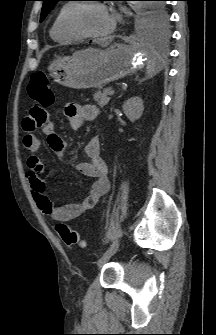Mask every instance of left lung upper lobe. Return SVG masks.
Here are the masks:
<instances>
[{"label":"left lung upper lobe","instance_id":"left-lung-upper-lobe-1","mask_svg":"<svg viewBox=\"0 0 216 335\" xmlns=\"http://www.w3.org/2000/svg\"><path fill=\"white\" fill-rule=\"evenodd\" d=\"M43 7L41 11L40 22H42L51 9L58 1L61 0H41ZM146 1L144 8V26L145 28L157 35L166 36L168 33V14L163 1L165 0H144Z\"/></svg>","mask_w":216,"mask_h":335}]
</instances>
